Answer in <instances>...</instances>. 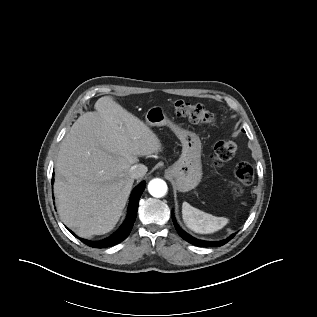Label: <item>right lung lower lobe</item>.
Segmentation results:
<instances>
[{"mask_svg": "<svg viewBox=\"0 0 317 317\" xmlns=\"http://www.w3.org/2000/svg\"><path fill=\"white\" fill-rule=\"evenodd\" d=\"M53 181V179H52ZM145 181L141 182L132 192L130 202H129V207H128V214L125 222L122 224V226L110 237L93 242V241H88L85 239H80L84 244H87L90 247L94 248H107L111 247L113 245H116L120 242H122L124 239L128 237L130 234L133 224L135 222L136 216H137V209H138V202L140 199V196L142 192L144 191L145 188ZM69 230V229H68ZM74 236H76L71 230H69Z\"/></svg>", "mask_w": 317, "mask_h": 317, "instance_id": "1", "label": "right lung lower lobe"}]
</instances>
